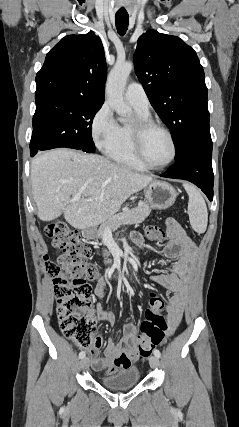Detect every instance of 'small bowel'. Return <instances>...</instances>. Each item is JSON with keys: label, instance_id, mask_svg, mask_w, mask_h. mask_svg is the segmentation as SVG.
<instances>
[{"label": "small bowel", "instance_id": "small-bowel-1", "mask_svg": "<svg viewBox=\"0 0 239 427\" xmlns=\"http://www.w3.org/2000/svg\"><path fill=\"white\" fill-rule=\"evenodd\" d=\"M168 243L160 251L162 256L171 260L168 272L153 277V281L167 290L172 295L166 306L167 334L171 335L177 328L186 303V291L190 277V269L196 255V246L185 233L184 229L174 219L167 220ZM135 247L143 246V237L140 233L134 232L131 236ZM107 286V279L100 278L95 286V296L101 300L104 297ZM164 306V305H163ZM96 320H105L114 325L115 316L103 309L100 302L96 305ZM137 327L133 323L124 326V334L119 342L109 339L103 357L98 356V350L103 344V339L99 336L94 338L93 346L88 350L91 357V365L95 370L105 371L106 374H113L119 369L130 368L139 359L136 345Z\"/></svg>", "mask_w": 239, "mask_h": 427}]
</instances>
